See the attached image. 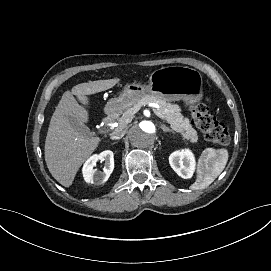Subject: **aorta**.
Returning <instances> with one entry per match:
<instances>
[{
	"instance_id": "762f6f07",
	"label": "aorta",
	"mask_w": 271,
	"mask_h": 271,
	"mask_svg": "<svg viewBox=\"0 0 271 271\" xmlns=\"http://www.w3.org/2000/svg\"><path fill=\"white\" fill-rule=\"evenodd\" d=\"M128 138L137 149H151L157 138V125L149 120L135 123L129 130Z\"/></svg>"
}]
</instances>
